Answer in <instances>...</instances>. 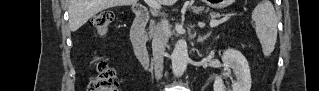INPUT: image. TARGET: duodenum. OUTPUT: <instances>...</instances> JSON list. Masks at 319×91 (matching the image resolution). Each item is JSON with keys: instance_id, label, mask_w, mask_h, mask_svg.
I'll return each instance as SVG.
<instances>
[{"instance_id": "1", "label": "duodenum", "mask_w": 319, "mask_h": 91, "mask_svg": "<svg viewBox=\"0 0 319 91\" xmlns=\"http://www.w3.org/2000/svg\"><path fill=\"white\" fill-rule=\"evenodd\" d=\"M134 15L135 18L131 28L134 52L140 63L145 68H148L150 56L147 49L145 28L149 19V13L144 6H135Z\"/></svg>"}]
</instances>
